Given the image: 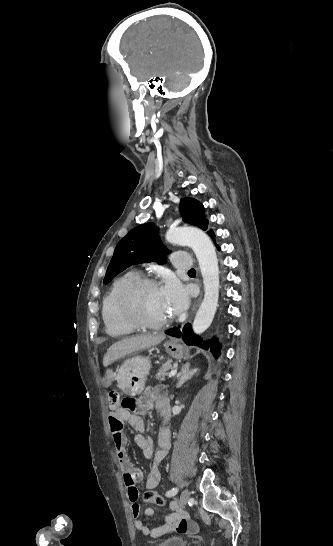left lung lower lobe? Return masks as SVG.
<instances>
[{
    "instance_id": "1",
    "label": "left lung lower lobe",
    "mask_w": 333,
    "mask_h": 546,
    "mask_svg": "<svg viewBox=\"0 0 333 546\" xmlns=\"http://www.w3.org/2000/svg\"><path fill=\"white\" fill-rule=\"evenodd\" d=\"M207 233L215 242L213 231L210 230ZM216 247L218 250H220L218 245H216ZM166 334L173 337H181L187 345H197L205 350L210 348L211 352H213L216 356L220 355L221 346L218 344V339H215V337H213L211 340L203 341L201 337L194 334L191 324L185 325L182 331L179 329V327H174L167 330Z\"/></svg>"
}]
</instances>
